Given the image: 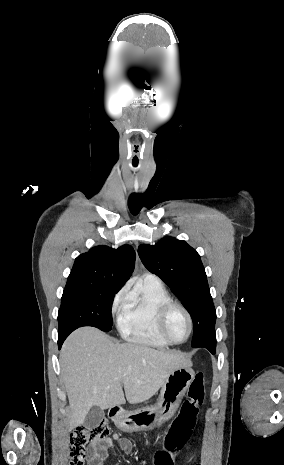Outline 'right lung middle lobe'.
Masks as SVG:
<instances>
[{"label":"right lung middle lobe","mask_w":284,"mask_h":465,"mask_svg":"<svg viewBox=\"0 0 284 465\" xmlns=\"http://www.w3.org/2000/svg\"><path fill=\"white\" fill-rule=\"evenodd\" d=\"M118 290L98 282L68 280L58 312V334L83 326L110 331L111 307Z\"/></svg>","instance_id":"dd1d6c3e"}]
</instances>
